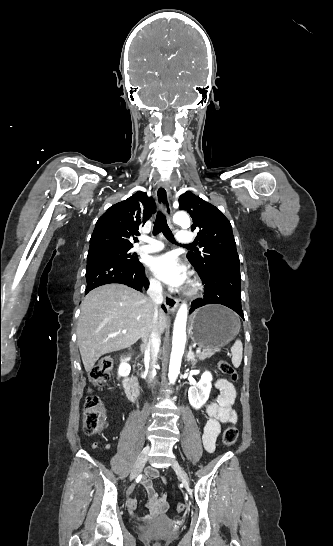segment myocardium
I'll return each instance as SVG.
<instances>
[{
	"label": "myocardium",
	"instance_id": "1",
	"mask_svg": "<svg viewBox=\"0 0 333 546\" xmlns=\"http://www.w3.org/2000/svg\"><path fill=\"white\" fill-rule=\"evenodd\" d=\"M201 289V283L198 281V280H194L189 288V290L187 291V294L188 295H194L196 293H198Z\"/></svg>",
	"mask_w": 333,
	"mask_h": 546
}]
</instances>
